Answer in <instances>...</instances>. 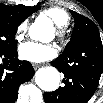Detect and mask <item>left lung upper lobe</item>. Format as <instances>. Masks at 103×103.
Here are the masks:
<instances>
[{"label":"left lung upper lobe","mask_w":103,"mask_h":103,"mask_svg":"<svg viewBox=\"0 0 103 103\" xmlns=\"http://www.w3.org/2000/svg\"><path fill=\"white\" fill-rule=\"evenodd\" d=\"M70 12L75 20V25L70 42L66 45V48L61 55H68L70 52L77 49L79 45L85 40V37L88 33H99L96 24L89 18L72 10H70Z\"/></svg>","instance_id":"obj_1"}]
</instances>
